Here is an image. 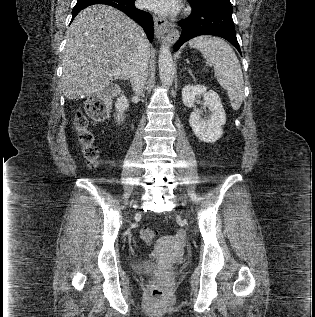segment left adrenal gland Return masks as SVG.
<instances>
[{
  "instance_id": "1",
  "label": "left adrenal gland",
  "mask_w": 315,
  "mask_h": 317,
  "mask_svg": "<svg viewBox=\"0 0 315 317\" xmlns=\"http://www.w3.org/2000/svg\"><path fill=\"white\" fill-rule=\"evenodd\" d=\"M186 69V68H185ZM188 72L190 73V75L192 76V72H191V70L188 68Z\"/></svg>"
}]
</instances>
